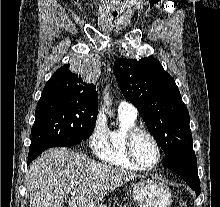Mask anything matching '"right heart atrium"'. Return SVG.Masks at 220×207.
<instances>
[{
  "label": "right heart atrium",
  "mask_w": 220,
  "mask_h": 207,
  "mask_svg": "<svg viewBox=\"0 0 220 207\" xmlns=\"http://www.w3.org/2000/svg\"><path fill=\"white\" fill-rule=\"evenodd\" d=\"M107 132V125L102 115H97L88 138V143L93 151H96L103 142Z\"/></svg>",
  "instance_id": "1"
}]
</instances>
